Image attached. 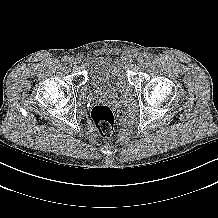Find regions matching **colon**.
Returning a JSON list of instances; mask_svg holds the SVG:
<instances>
[{"label":"colon","mask_w":218,"mask_h":218,"mask_svg":"<svg viewBox=\"0 0 218 218\" xmlns=\"http://www.w3.org/2000/svg\"><path fill=\"white\" fill-rule=\"evenodd\" d=\"M90 119L97 133L107 138L114 129L115 116L112 109L107 105H96L90 113Z\"/></svg>","instance_id":"colon-1"}]
</instances>
